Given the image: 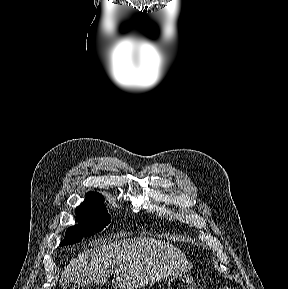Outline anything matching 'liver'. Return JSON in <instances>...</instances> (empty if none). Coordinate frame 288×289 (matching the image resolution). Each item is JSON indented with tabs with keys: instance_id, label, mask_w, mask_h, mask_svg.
<instances>
[{
	"instance_id": "liver-1",
	"label": "liver",
	"mask_w": 288,
	"mask_h": 289,
	"mask_svg": "<svg viewBox=\"0 0 288 289\" xmlns=\"http://www.w3.org/2000/svg\"><path fill=\"white\" fill-rule=\"evenodd\" d=\"M91 246L64 268L67 284H105L110 274H116L113 287L137 289L192 268L181 250L154 238L95 241Z\"/></svg>"
}]
</instances>
